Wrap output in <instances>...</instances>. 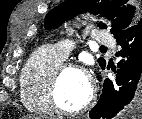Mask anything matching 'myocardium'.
I'll use <instances>...</instances> for the list:
<instances>
[{
    "label": "myocardium",
    "instance_id": "1",
    "mask_svg": "<svg viewBox=\"0 0 142 119\" xmlns=\"http://www.w3.org/2000/svg\"><path fill=\"white\" fill-rule=\"evenodd\" d=\"M69 70H76L85 74L88 77L89 86H90V93L87 100L82 105H80L79 107L75 109H66L62 107L58 101V89H59L61 80L64 74ZM95 98H96V89L93 84L92 78L88 74V72L85 70V68L78 64L71 63V62L62 63L57 68V70L55 71V73L50 79L48 89H47V99L52 111H54L57 114L71 116V115H78L80 113H83L84 111H86L88 108L92 106V104L95 101Z\"/></svg>",
    "mask_w": 142,
    "mask_h": 119
}]
</instances>
